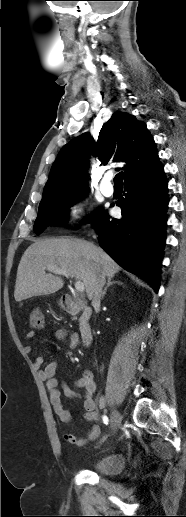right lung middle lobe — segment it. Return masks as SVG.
I'll return each instance as SVG.
<instances>
[{
    "instance_id": "obj_1",
    "label": "right lung middle lobe",
    "mask_w": 186,
    "mask_h": 517,
    "mask_svg": "<svg viewBox=\"0 0 186 517\" xmlns=\"http://www.w3.org/2000/svg\"><path fill=\"white\" fill-rule=\"evenodd\" d=\"M84 191L64 194L54 198L41 200L38 216L34 223V231L36 234H40L43 229L47 226H61L65 224V215L68 212V208L72 203L80 196L83 195ZM99 209L96 211L92 220L101 212Z\"/></svg>"
}]
</instances>
